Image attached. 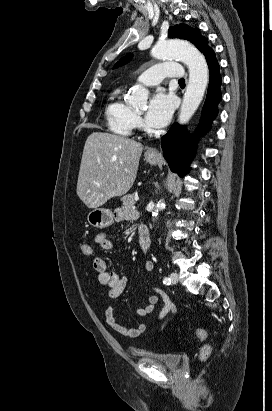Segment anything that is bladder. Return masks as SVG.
<instances>
[{
    "instance_id": "1",
    "label": "bladder",
    "mask_w": 272,
    "mask_h": 411,
    "mask_svg": "<svg viewBox=\"0 0 272 411\" xmlns=\"http://www.w3.org/2000/svg\"><path fill=\"white\" fill-rule=\"evenodd\" d=\"M141 357L154 365L163 366L168 369H177L183 360L182 355L179 353L166 354L146 352L143 353Z\"/></svg>"
}]
</instances>
